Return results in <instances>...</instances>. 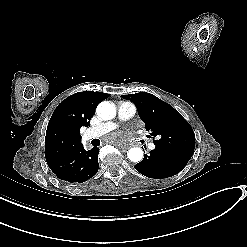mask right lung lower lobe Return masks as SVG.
I'll return each instance as SVG.
<instances>
[{
  "label": "right lung lower lobe",
  "mask_w": 247,
  "mask_h": 247,
  "mask_svg": "<svg viewBox=\"0 0 247 247\" xmlns=\"http://www.w3.org/2000/svg\"><path fill=\"white\" fill-rule=\"evenodd\" d=\"M98 153V148L86 151L80 142L46 160L49 168L59 179L71 183H82L97 173Z\"/></svg>",
  "instance_id": "obj_1"
}]
</instances>
